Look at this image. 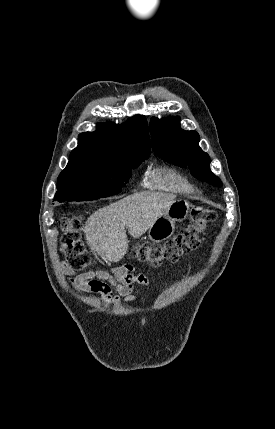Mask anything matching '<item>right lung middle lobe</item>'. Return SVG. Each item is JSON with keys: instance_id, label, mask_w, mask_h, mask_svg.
I'll use <instances>...</instances> for the list:
<instances>
[{"instance_id": "obj_1", "label": "right lung middle lobe", "mask_w": 275, "mask_h": 429, "mask_svg": "<svg viewBox=\"0 0 275 429\" xmlns=\"http://www.w3.org/2000/svg\"><path fill=\"white\" fill-rule=\"evenodd\" d=\"M149 155L127 154L109 160L69 161L60 173L54 200L88 201L121 192L137 168Z\"/></svg>"}]
</instances>
